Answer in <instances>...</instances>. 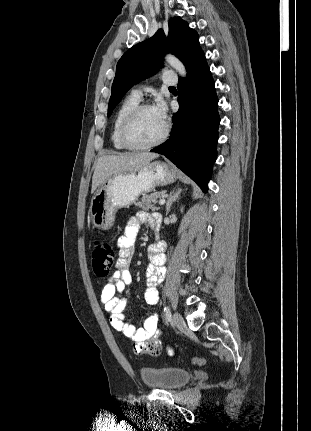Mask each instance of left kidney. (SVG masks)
I'll return each mask as SVG.
<instances>
[{
  "label": "left kidney",
  "mask_w": 311,
  "mask_h": 431,
  "mask_svg": "<svg viewBox=\"0 0 311 431\" xmlns=\"http://www.w3.org/2000/svg\"><path fill=\"white\" fill-rule=\"evenodd\" d=\"M181 212H183V208H181Z\"/></svg>",
  "instance_id": "5707ae66"
}]
</instances>
